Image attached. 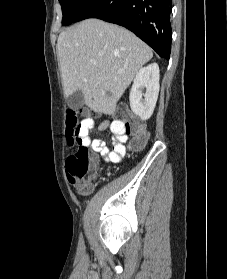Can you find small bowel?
<instances>
[{
    "label": "small bowel",
    "instance_id": "1",
    "mask_svg": "<svg viewBox=\"0 0 227 279\" xmlns=\"http://www.w3.org/2000/svg\"><path fill=\"white\" fill-rule=\"evenodd\" d=\"M112 134V146L107 147L102 139L94 138L90 141V148L96 154H99L106 163H117L126 155V142L128 136L119 121L110 120L101 117L98 122L89 120L87 130L95 134L104 132L106 129ZM74 183L77 179L71 178Z\"/></svg>",
    "mask_w": 227,
    "mask_h": 279
}]
</instances>
